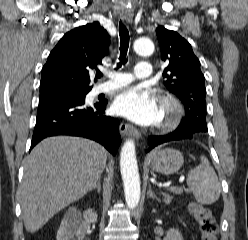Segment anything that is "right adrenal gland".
<instances>
[{
	"label": "right adrenal gland",
	"mask_w": 248,
	"mask_h": 240,
	"mask_svg": "<svg viewBox=\"0 0 248 240\" xmlns=\"http://www.w3.org/2000/svg\"><path fill=\"white\" fill-rule=\"evenodd\" d=\"M93 189H97V192L100 193L101 192V179H99L97 181V183L95 184V186L93 187Z\"/></svg>",
	"instance_id": "obj_1"
}]
</instances>
